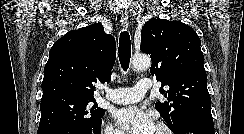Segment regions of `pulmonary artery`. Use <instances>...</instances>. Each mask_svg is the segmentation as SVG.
Listing matches in <instances>:
<instances>
[{"instance_id":"obj_1","label":"pulmonary artery","mask_w":244,"mask_h":134,"mask_svg":"<svg viewBox=\"0 0 244 134\" xmlns=\"http://www.w3.org/2000/svg\"><path fill=\"white\" fill-rule=\"evenodd\" d=\"M150 89L151 81L141 79L134 87L116 88L107 91L106 99L115 104H130L141 100Z\"/></svg>"}]
</instances>
